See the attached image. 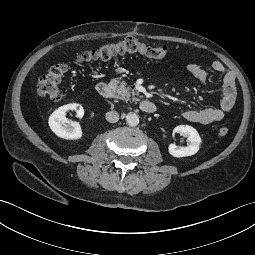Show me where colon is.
I'll use <instances>...</instances> for the list:
<instances>
[{
	"mask_svg": "<svg viewBox=\"0 0 255 255\" xmlns=\"http://www.w3.org/2000/svg\"><path fill=\"white\" fill-rule=\"evenodd\" d=\"M124 53H139L150 59H163L167 55L165 45L152 46L138 41L132 37H126L116 43H106L96 49L85 51L75 58L77 63L89 62L94 60H107L114 56ZM68 71L66 63L53 65L44 73L37 82V93L53 101H59L62 98L61 83ZM229 129L222 126L218 134L225 136Z\"/></svg>",
	"mask_w": 255,
	"mask_h": 255,
	"instance_id": "5ec220e1",
	"label": "colon"
}]
</instances>
